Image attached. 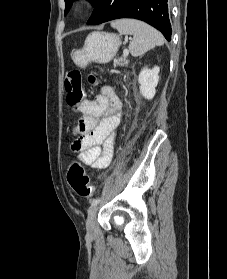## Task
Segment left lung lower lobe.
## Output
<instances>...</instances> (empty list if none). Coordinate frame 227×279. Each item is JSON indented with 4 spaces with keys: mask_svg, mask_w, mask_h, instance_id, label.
Here are the masks:
<instances>
[{
    "mask_svg": "<svg viewBox=\"0 0 227 279\" xmlns=\"http://www.w3.org/2000/svg\"><path fill=\"white\" fill-rule=\"evenodd\" d=\"M119 18L142 20L158 29L168 41L171 40L167 0H99L87 24H101Z\"/></svg>",
    "mask_w": 227,
    "mask_h": 279,
    "instance_id": "left-lung-lower-lobe-1",
    "label": "left lung lower lobe"
}]
</instances>
